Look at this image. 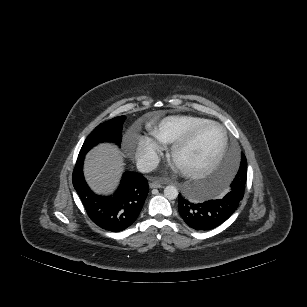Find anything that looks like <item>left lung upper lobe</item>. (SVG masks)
<instances>
[{"label": "left lung upper lobe", "instance_id": "left-lung-upper-lobe-1", "mask_svg": "<svg viewBox=\"0 0 307 307\" xmlns=\"http://www.w3.org/2000/svg\"><path fill=\"white\" fill-rule=\"evenodd\" d=\"M242 156H241V163H240V167L238 170L237 175L235 176L234 180H233V184L234 183H239V188L242 189V191H244L245 189V184H246V179H247V166L245 167V165H243L242 163ZM244 159L246 160V158L244 157ZM231 187V185H230Z\"/></svg>", "mask_w": 307, "mask_h": 307}]
</instances>
